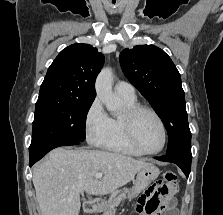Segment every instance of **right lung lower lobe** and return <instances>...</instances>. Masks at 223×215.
I'll return each mask as SVG.
<instances>
[{
	"instance_id": "98d812e1",
	"label": "right lung lower lobe",
	"mask_w": 223,
	"mask_h": 215,
	"mask_svg": "<svg viewBox=\"0 0 223 215\" xmlns=\"http://www.w3.org/2000/svg\"><path fill=\"white\" fill-rule=\"evenodd\" d=\"M81 142H66V143H59V144H53L46 146L41 149H37L34 151H29L30 153V163L29 165L32 166L35 162L40 160L46 153H48L50 150L60 147V146H70V145H77L80 144Z\"/></svg>"
}]
</instances>
